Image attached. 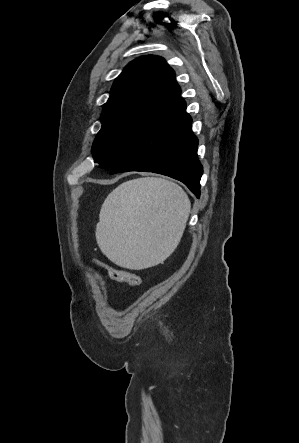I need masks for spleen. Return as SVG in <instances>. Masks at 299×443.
Segmentation results:
<instances>
[{"mask_svg":"<svg viewBox=\"0 0 299 443\" xmlns=\"http://www.w3.org/2000/svg\"><path fill=\"white\" fill-rule=\"evenodd\" d=\"M190 209L187 194L171 181L148 177L124 182L101 207L98 246L124 268L157 265L179 244Z\"/></svg>","mask_w":299,"mask_h":443,"instance_id":"obj_1","label":"spleen"}]
</instances>
